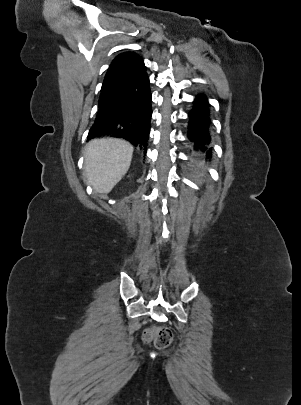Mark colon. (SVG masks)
<instances>
[{
  "instance_id": "obj_1",
  "label": "colon",
  "mask_w": 301,
  "mask_h": 405,
  "mask_svg": "<svg viewBox=\"0 0 301 405\" xmlns=\"http://www.w3.org/2000/svg\"><path fill=\"white\" fill-rule=\"evenodd\" d=\"M143 340L146 343H153L158 349H164L172 343L173 334L167 327L151 328L144 332Z\"/></svg>"
}]
</instances>
